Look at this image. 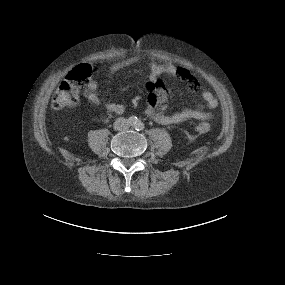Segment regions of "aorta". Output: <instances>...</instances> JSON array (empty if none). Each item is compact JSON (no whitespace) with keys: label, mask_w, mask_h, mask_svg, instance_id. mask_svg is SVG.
Returning <instances> with one entry per match:
<instances>
[{"label":"aorta","mask_w":285,"mask_h":285,"mask_svg":"<svg viewBox=\"0 0 285 285\" xmlns=\"http://www.w3.org/2000/svg\"><path fill=\"white\" fill-rule=\"evenodd\" d=\"M138 122L137 118H134V124H136Z\"/></svg>","instance_id":"762f6f07"}]
</instances>
